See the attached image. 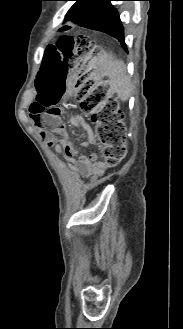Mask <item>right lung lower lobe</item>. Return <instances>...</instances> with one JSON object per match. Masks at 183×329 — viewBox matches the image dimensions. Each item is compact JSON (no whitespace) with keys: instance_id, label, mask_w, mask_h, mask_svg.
Instances as JSON below:
<instances>
[{"instance_id":"98d812e1","label":"right lung lower lobe","mask_w":183,"mask_h":329,"mask_svg":"<svg viewBox=\"0 0 183 329\" xmlns=\"http://www.w3.org/2000/svg\"><path fill=\"white\" fill-rule=\"evenodd\" d=\"M69 9L66 20L79 26L105 32L121 42L127 51L123 26L117 10L111 5L113 0H75Z\"/></svg>"}]
</instances>
